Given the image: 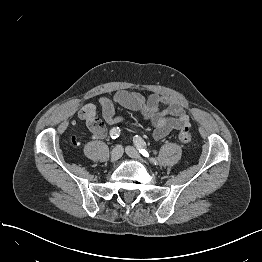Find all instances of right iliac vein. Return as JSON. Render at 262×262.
<instances>
[{"label":"right iliac vein","mask_w":262,"mask_h":262,"mask_svg":"<svg viewBox=\"0 0 262 262\" xmlns=\"http://www.w3.org/2000/svg\"><path fill=\"white\" fill-rule=\"evenodd\" d=\"M123 155V148L118 145L116 146L112 151L110 155V161L111 162H117Z\"/></svg>","instance_id":"obj_1"}]
</instances>
